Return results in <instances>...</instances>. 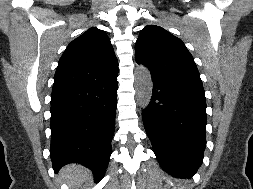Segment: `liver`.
<instances>
[{"label": "liver", "instance_id": "6515ba94", "mask_svg": "<svg viewBox=\"0 0 253 189\" xmlns=\"http://www.w3.org/2000/svg\"><path fill=\"white\" fill-rule=\"evenodd\" d=\"M60 174L71 187H79L87 180L89 171L80 165L71 164L65 166Z\"/></svg>", "mask_w": 253, "mask_h": 189}]
</instances>
